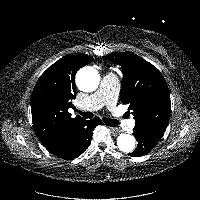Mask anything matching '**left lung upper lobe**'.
<instances>
[{"label":"left lung upper lobe","mask_w":200,"mask_h":200,"mask_svg":"<svg viewBox=\"0 0 200 200\" xmlns=\"http://www.w3.org/2000/svg\"><path fill=\"white\" fill-rule=\"evenodd\" d=\"M103 58L122 67L120 99L129 105L135 118L134 129L161 139L170 119L171 101L159 70L131 52H112Z\"/></svg>","instance_id":"5c2ea615"}]
</instances>
